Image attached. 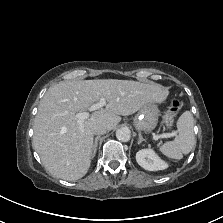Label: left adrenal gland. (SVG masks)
Listing matches in <instances>:
<instances>
[{"label": "left adrenal gland", "mask_w": 223, "mask_h": 223, "mask_svg": "<svg viewBox=\"0 0 223 223\" xmlns=\"http://www.w3.org/2000/svg\"><path fill=\"white\" fill-rule=\"evenodd\" d=\"M143 141L146 142V140L142 137L141 133H139V140H138V144H141Z\"/></svg>", "instance_id": "1"}]
</instances>
